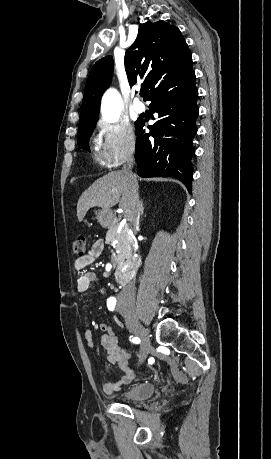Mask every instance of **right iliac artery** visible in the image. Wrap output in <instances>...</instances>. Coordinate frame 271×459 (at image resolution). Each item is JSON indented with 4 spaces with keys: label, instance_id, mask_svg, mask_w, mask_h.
Wrapping results in <instances>:
<instances>
[{
    "label": "right iliac artery",
    "instance_id": "right-iliac-artery-1",
    "mask_svg": "<svg viewBox=\"0 0 271 459\" xmlns=\"http://www.w3.org/2000/svg\"><path fill=\"white\" fill-rule=\"evenodd\" d=\"M116 305V299L115 298H108L107 299V307L109 310L113 311L114 310V307ZM131 337L133 336H130V341H132L133 343H135V338L131 339Z\"/></svg>",
    "mask_w": 271,
    "mask_h": 459
}]
</instances>
